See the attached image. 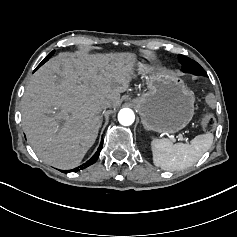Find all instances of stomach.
<instances>
[{
	"label": "stomach",
	"mask_w": 237,
	"mask_h": 237,
	"mask_svg": "<svg viewBox=\"0 0 237 237\" xmlns=\"http://www.w3.org/2000/svg\"><path fill=\"white\" fill-rule=\"evenodd\" d=\"M138 71L151 73L148 92L133 100L147 130L174 133L184 128L194 115L195 97L178 76L153 71L154 60L149 52L137 56Z\"/></svg>",
	"instance_id": "stomach-1"
}]
</instances>
